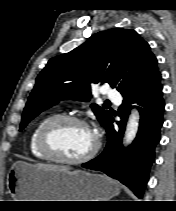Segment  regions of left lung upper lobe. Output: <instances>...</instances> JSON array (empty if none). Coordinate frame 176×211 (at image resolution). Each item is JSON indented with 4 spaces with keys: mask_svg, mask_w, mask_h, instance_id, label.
I'll use <instances>...</instances> for the list:
<instances>
[{
    "mask_svg": "<svg viewBox=\"0 0 176 211\" xmlns=\"http://www.w3.org/2000/svg\"><path fill=\"white\" fill-rule=\"evenodd\" d=\"M160 75L157 59L134 30L113 28L91 36L69 53L49 60L36 79L20 131L39 113L64 99L89 101L90 83H109L125 95ZM104 127L110 111L91 105Z\"/></svg>",
    "mask_w": 176,
    "mask_h": 211,
    "instance_id": "obj_1",
    "label": "left lung upper lobe"
}]
</instances>
